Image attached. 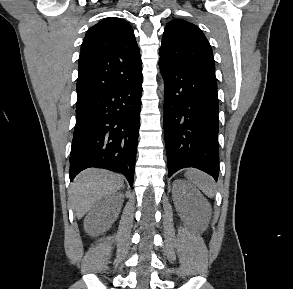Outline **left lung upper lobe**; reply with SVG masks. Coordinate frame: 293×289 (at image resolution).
<instances>
[{"label":"left lung upper lobe","instance_id":"5c2ea615","mask_svg":"<svg viewBox=\"0 0 293 289\" xmlns=\"http://www.w3.org/2000/svg\"><path fill=\"white\" fill-rule=\"evenodd\" d=\"M160 62L173 68L215 76L212 48L204 33L181 19L170 21L162 38Z\"/></svg>","mask_w":293,"mask_h":289}]
</instances>
